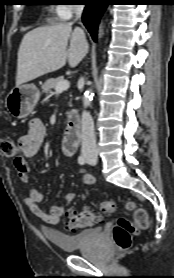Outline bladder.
Returning a JSON list of instances; mask_svg holds the SVG:
<instances>
[{"mask_svg": "<svg viewBox=\"0 0 174 278\" xmlns=\"http://www.w3.org/2000/svg\"><path fill=\"white\" fill-rule=\"evenodd\" d=\"M102 230L99 227L84 229L75 234H65L58 231H48L47 238L57 248L65 252H72L97 241Z\"/></svg>", "mask_w": 174, "mask_h": 278, "instance_id": "obj_1", "label": "bladder"}]
</instances>
